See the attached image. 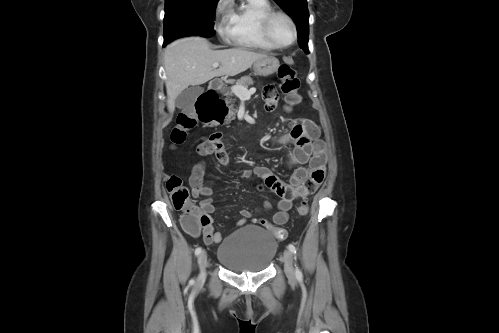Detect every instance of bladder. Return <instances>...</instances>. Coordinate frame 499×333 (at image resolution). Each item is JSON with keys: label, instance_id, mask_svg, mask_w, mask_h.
Listing matches in <instances>:
<instances>
[{"label": "bladder", "instance_id": "bladder-1", "mask_svg": "<svg viewBox=\"0 0 499 333\" xmlns=\"http://www.w3.org/2000/svg\"><path fill=\"white\" fill-rule=\"evenodd\" d=\"M277 247L271 233L259 226L246 225L223 239L217 260L231 272H263L272 263Z\"/></svg>", "mask_w": 499, "mask_h": 333}]
</instances>
